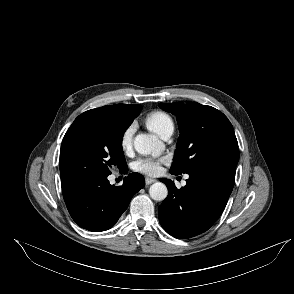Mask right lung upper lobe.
Returning <instances> with one entry per match:
<instances>
[{
    "label": "right lung upper lobe",
    "instance_id": "obj_1",
    "mask_svg": "<svg viewBox=\"0 0 294 294\" xmlns=\"http://www.w3.org/2000/svg\"><path fill=\"white\" fill-rule=\"evenodd\" d=\"M97 109L114 113L123 120L133 121L139 115L142 107L141 105L116 104Z\"/></svg>",
    "mask_w": 294,
    "mask_h": 294
}]
</instances>
